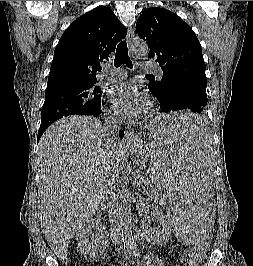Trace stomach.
Masks as SVG:
<instances>
[{"mask_svg": "<svg viewBox=\"0 0 253 266\" xmlns=\"http://www.w3.org/2000/svg\"><path fill=\"white\" fill-rule=\"evenodd\" d=\"M151 141L149 143H143L142 141H137L129 146L130 151L135 153L141 159L153 160L152 150L153 146L157 145V136L150 135Z\"/></svg>", "mask_w": 253, "mask_h": 266, "instance_id": "0dacf381", "label": "stomach"}]
</instances>
